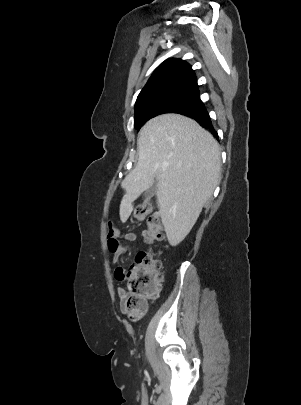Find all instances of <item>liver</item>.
<instances>
[{
	"mask_svg": "<svg viewBox=\"0 0 301 405\" xmlns=\"http://www.w3.org/2000/svg\"><path fill=\"white\" fill-rule=\"evenodd\" d=\"M137 148V165L122 182L120 219H128L132 203L156 179L159 215L170 245L176 246L188 235L219 183V144L195 120L164 114L141 128Z\"/></svg>",
	"mask_w": 301,
	"mask_h": 405,
	"instance_id": "6515ba94",
	"label": "liver"
}]
</instances>
